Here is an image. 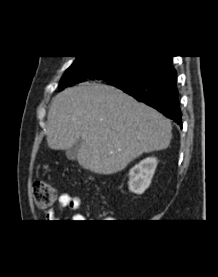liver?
<instances>
[{
	"instance_id": "6515ba94",
	"label": "liver",
	"mask_w": 218,
	"mask_h": 277,
	"mask_svg": "<svg viewBox=\"0 0 218 277\" xmlns=\"http://www.w3.org/2000/svg\"><path fill=\"white\" fill-rule=\"evenodd\" d=\"M171 122L123 91L100 83H83L54 97L47 116V143L66 150L81 138L80 166L98 174L123 170L143 153L166 149Z\"/></svg>"
}]
</instances>
